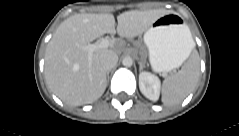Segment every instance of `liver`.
<instances>
[{"instance_id": "liver-1", "label": "liver", "mask_w": 239, "mask_h": 136, "mask_svg": "<svg viewBox=\"0 0 239 136\" xmlns=\"http://www.w3.org/2000/svg\"><path fill=\"white\" fill-rule=\"evenodd\" d=\"M167 13L170 11L163 9L126 11L117 16L116 29L112 14L70 16L59 25L46 47L44 72L49 88L68 105L96 101L107 85L100 58L115 53V41H111L110 48L94 51L91 61L83 47L106 33L117 32L126 38L139 36Z\"/></svg>"}]
</instances>
